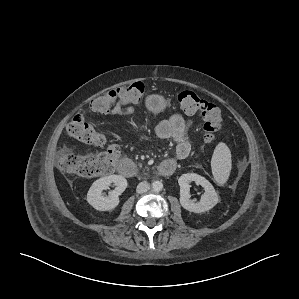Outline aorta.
<instances>
[{
    "instance_id": "obj_1",
    "label": "aorta",
    "mask_w": 299,
    "mask_h": 299,
    "mask_svg": "<svg viewBox=\"0 0 299 299\" xmlns=\"http://www.w3.org/2000/svg\"><path fill=\"white\" fill-rule=\"evenodd\" d=\"M152 189L156 192H159L163 189V183L161 181H154L152 183Z\"/></svg>"
}]
</instances>
